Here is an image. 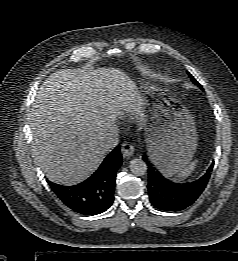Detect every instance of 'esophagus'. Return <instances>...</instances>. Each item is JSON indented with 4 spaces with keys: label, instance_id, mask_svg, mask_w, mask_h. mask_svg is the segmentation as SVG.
<instances>
[{
    "label": "esophagus",
    "instance_id": "34e87169",
    "mask_svg": "<svg viewBox=\"0 0 238 261\" xmlns=\"http://www.w3.org/2000/svg\"><path fill=\"white\" fill-rule=\"evenodd\" d=\"M134 147L129 143H123L121 146V153L124 158H129L133 155Z\"/></svg>",
    "mask_w": 238,
    "mask_h": 261
}]
</instances>
